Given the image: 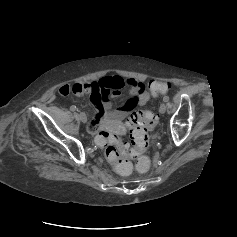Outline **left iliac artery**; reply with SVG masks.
Returning a JSON list of instances; mask_svg holds the SVG:
<instances>
[{
    "mask_svg": "<svg viewBox=\"0 0 237 237\" xmlns=\"http://www.w3.org/2000/svg\"><path fill=\"white\" fill-rule=\"evenodd\" d=\"M163 101L164 102H168L169 101V97L168 96H164Z\"/></svg>",
    "mask_w": 237,
    "mask_h": 237,
    "instance_id": "44dca946",
    "label": "left iliac artery"
}]
</instances>
